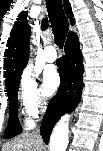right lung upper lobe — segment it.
<instances>
[{"instance_id":"1","label":"right lung upper lobe","mask_w":103,"mask_h":151,"mask_svg":"<svg viewBox=\"0 0 103 151\" xmlns=\"http://www.w3.org/2000/svg\"><path fill=\"white\" fill-rule=\"evenodd\" d=\"M64 8L67 17L72 18L73 14L67 0H64ZM71 24H74V19H71ZM47 26L44 20L42 29H45ZM30 34V26L27 23V11H23L18 15L17 21L14 23L4 55L6 86L20 78L23 68L28 62Z\"/></svg>"}]
</instances>
